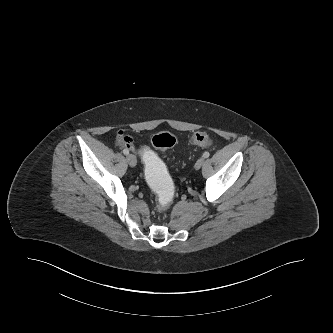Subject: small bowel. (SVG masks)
Here are the masks:
<instances>
[{
	"instance_id": "c3829d8e",
	"label": "small bowel",
	"mask_w": 333,
	"mask_h": 333,
	"mask_svg": "<svg viewBox=\"0 0 333 333\" xmlns=\"http://www.w3.org/2000/svg\"><path fill=\"white\" fill-rule=\"evenodd\" d=\"M112 144L118 152L126 153L134 148L135 139L129 131L121 130L113 136Z\"/></svg>"
}]
</instances>
